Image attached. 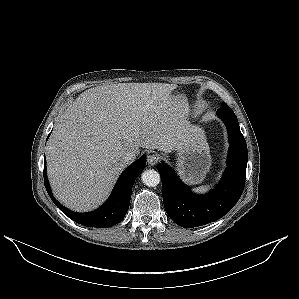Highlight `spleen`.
I'll return each instance as SVG.
<instances>
[{"label": "spleen", "mask_w": 299, "mask_h": 299, "mask_svg": "<svg viewBox=\"0 0 299 299\" xmlns=\"http://www.w3.org/2000/svg\"><path fill=\"white\" fill-rule=\"evenodd\" d=\"M211 188V185H203L197 188H194L193 191L197 192V193H206L207 191H209Z\"/></svg>", "instance_id": "1"}]
</instances>
